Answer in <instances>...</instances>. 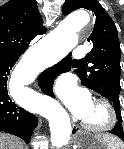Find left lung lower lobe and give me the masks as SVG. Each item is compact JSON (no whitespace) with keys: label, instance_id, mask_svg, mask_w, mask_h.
<instances>
[{"label":"left lung lower lobe","instance_id":"left-lung-lower-lobe-1","mask_svg":"<svg viewBox=\"0 0 124 149\" xmlns=\"http://www.w3.org/2000/svg\"><path fill=\"white\" fill-rule=\"evenodd\" d=\"M70 60L71 56H66L62 61H60L55 66L45 70L40 76H39V84L41 89L44 93H46L49 96L54 97V94L52 92V84L53 79L60 73H64L69 71L70 69ZM74 133V132H73ZM112 134L118 136L123 142H124V132L121 122H117L114 128L111 131Z\"/></svg>","mask_w":124,"mask_h":149}]
</instances>
